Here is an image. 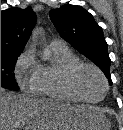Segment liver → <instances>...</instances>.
<instances>
[{
  "label": "liver",
  "instance_id": "liver-1",
  "mask_svg": "<svg viewBox=\"0 0 123 130\" xmlns=\"http://www.w3.org/2000/svg\"><path fill=\"white\" fill-rule=\"evenodd\" d=\"M104 120L92 106L31 98L1 88V130H99Z\"/></svg>",
  "mask_w": 123,
  "mask_h": 130
}]
</instances>
